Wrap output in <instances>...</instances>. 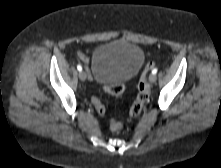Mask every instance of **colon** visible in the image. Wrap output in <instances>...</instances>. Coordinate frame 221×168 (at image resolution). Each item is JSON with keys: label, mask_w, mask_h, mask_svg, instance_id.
<instances>
[{"label": "colon", "mask_w": 221, "mask_h": 168, "mask_svg": "<svg viewBox=\"0 0 221 168\" xmlns=\"http://www.w3.org/2000/svg\"><path fill=\"white\" fill-rule=\"evenodd\" d=\"M154 67H155V63L149 62L146 65L145 70L139 79L138 86H137L138 94H137V97L129 110V116L131 118H135L140 115V113L142 112V110L144 108L146 101L148 100L149 85L147 82V73ZM124 89L125 88L122 83H114L107 88V92L110 93L111 95L119 97L123 94ZM93 104L99 114L105 113L104 105L97 98L93 99ZM121 128H122V124L120 122H118L116 120H111L110 130L112 132H118L119 130H121Z\"/></svg>", "instance_id": "5ec220e1"}]
</instances>
